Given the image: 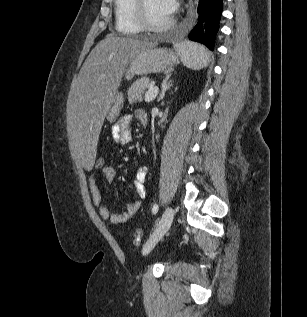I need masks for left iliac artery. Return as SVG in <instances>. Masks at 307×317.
I'll return each mask as SVG.
<instances>
[{
	"mask_svg": "<svg viewBox=\"0 0 307 317\" xmlns=\"http://www.w3.org/2000/svg\"><path fill=\"white\" fill-rule=\"evenodd\" d=\"M158 209H159V206H158L157 203H155V204L153 205V208H152V213H153V214H156V213L158 212Z\"/></svg>",
	"mask_w": 307,
	"mask_h": 317,
	"instance_id": "44dca946",
	"label": "left iliac artery"
}]
</instances>
